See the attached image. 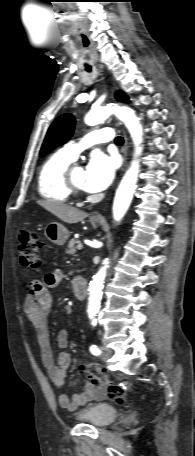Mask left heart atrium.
I'll return each mask as SVG.
<instances>
[{
	"label": "left heart atrium",
	"mask_w": 195,
	"mask_h": 456,
	"mask_svg": "<svg viewBox=\"0 0 195 456\" xmlns=\"http://www.w3.org/2000/svg\"><path fill=\"white\" fill-rule=\"evenodd\" d=\"M117 167L116 158L102 153L94 154L85 169L83 188L89 192L106 189L113 181Z\"/></svg>",
	"instance_id": "39dd6f15"
}]
</instances>
